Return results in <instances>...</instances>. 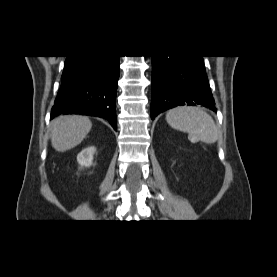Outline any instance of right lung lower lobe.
<instances>
[{
  "label": "right lung lower lobe",
  "mask_w": 277,
  "mask_h": 277,
  "mask_svg": "<svg viewBox=\"0 0 277 277\" xmlns=\"http://www.w3.org/2000/svg\"><path fill=\"white\" fill-rule=\"evenodd\" d=\"M119 57L67 56L51 119L72 113L98 116L107 119L117 129Z\"/></svg>",
  "instance_id": "1"
}]
</instances>
